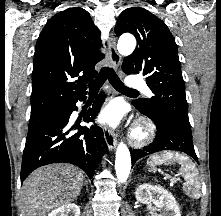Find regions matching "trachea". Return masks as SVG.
<instances>
[{
    "instance_id": "3493384b",
    "label": "trachea",
    "mask_w": 221,
    "mask_h": 216,
    "mask_svg": "<svg viewBox=\"0 0 221 216\" xmlns=\"http://www.w3.org/2000/svg\"><path fill=\"white\" fill-rule=\"evenodd\" d=\"M106 79H108L111 85L118 91L138 93V91L126 87L115 71L109 67H103L98 76L89 84V93H97Z\"/></svg>"
}]
</instances>
